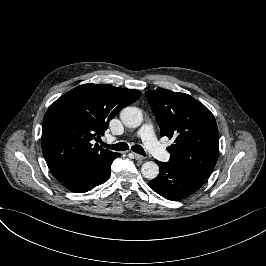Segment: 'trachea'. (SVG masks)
Instances as JSON below:
<instances>
[{"instance_id": "3493384b", "label": "trachea", "mask_w": 266, "mask_h": 266, "mask_svg": "<svg viewBox=\"0 0 266 266\" xmlns=\"http://www.w3.org/2000/svg\"><path fill=\"white\" fill-rule=\"evenodd\" d=\"M101 145L103 147H105V148L112 149V150H117V151H125V150H127L129 148L128 145L126 143H124V142L113 144V145H109V144H106L104 142H101ZM131 149L134 152L145 156V151L142 148V146L136 144V145L132 146Z\"/></svg>"}]
</instances>
